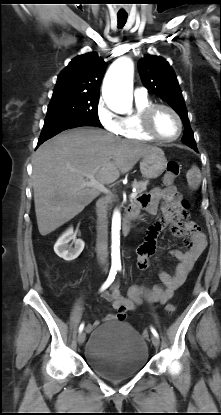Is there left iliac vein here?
<instances>
[{
    "mask_svg": "<svg viewBox=\"0 0 221 415\" xmlns=\"http://www.w3.org/2000/svg\"><path fill=\"white\" fill-rule=\"evenodd\" d=\"M151 339H152V343L155 347H158L160 345V340L157 336L153 335Z\"/></svg>",
    "mask_w": 221,
    "mask_h": 415,
    "instance_id": "left-iliac-vein-1",
    "label": "left iliac vein"
}]
</instances>
